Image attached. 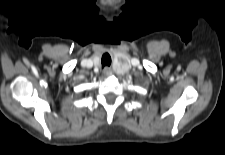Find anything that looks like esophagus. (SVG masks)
<instances>
[{
  "mask_svg": "<svg viewBox=\"0 0 225 155\" xmlns=\"http://www.w3.org/2000/svg\"><path fill=\"white\" fill-rule=\"evenodd\" d=\"M103 74L105 77L111 76L112 75V70L109 67H105L103 70Z\"/></svg>",
  "mask_w": 225,
  "mask_h": 155,
  "instance_id": "esophagus-1",
  "label": "esophagus"
}]
</instances>
